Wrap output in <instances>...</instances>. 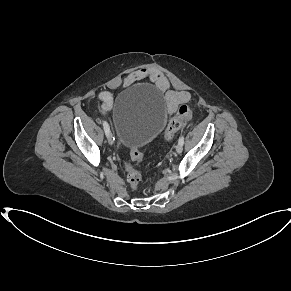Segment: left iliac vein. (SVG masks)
I'll return each instance as SVG.
<instances>
[{
  "label": "left iliac vein",
  "instance_id": "1",
  "mask_svg": "<svg viewBox=\"0 0 291 291\" xmlns=\"http://www.w3.org/2000/svg\"><path fill=\"white\" fill-rule=\"evenodd\" d=\"M182 150H183V144L178 142V144L176 145V152L181 153Z\"/></svg>",
  "mask_w": 291,
  "mask_h": 291
}]
</instances>
